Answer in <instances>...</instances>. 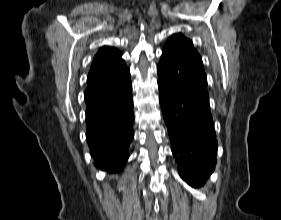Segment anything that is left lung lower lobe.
<instances>
[{"label": "left lung lower lobe", "instance_id": "left-lung-lower-lobe-1", "mask_svg": "<svg viewBox=\"0 0 281 220\" xmlns=\"http://www.w3.org/2000/svg\"><path fill=\"white\" fill-rule=\"evenodd\" d=\"M157 72L179 174L189 184L202 182L214 170L218 147L202 59L184 51L163 53Z\"/></svg>", "mask_w": 281, "mask_h": 220}]
</instances>
